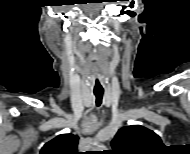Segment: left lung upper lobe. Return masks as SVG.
<instances>
[{
	"instance_id": "left-lung-upper-lobe-1",
	"label": "left lung upper lobe",
	"mask_w": 190,
	"mask_h": 154,
	"mask_svg": "<svg viewBox=\"0 0 190 154\" xmlns=\"http://www.w3.org/2000/svg\"><path fill=\"white\" fill-rule=\"evenodd\" d=\"M111 145V154H156L164 148L161 138L141 125L121 128Z\"/></svg>"
}]
</instances>
